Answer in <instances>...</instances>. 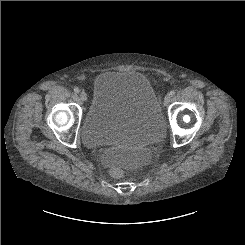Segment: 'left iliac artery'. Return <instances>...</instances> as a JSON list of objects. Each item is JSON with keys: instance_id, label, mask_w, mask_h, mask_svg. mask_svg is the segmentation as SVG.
I'll return each mask as SVG.
<instances>
[{"instance_id": "obj_1", "label": "left iliac artery", "mask_w": 245, "mask_h": 245, "mask_svg": "<svg viewBox=\"0 0 245 245\" xmlns=\"http://www.w3.org/2000/svg\"><path fill=\"white\" fill-rule=\"evenodd\" d=\"M175 90H171L170 92H169V95L172 97V96H174L175 95Z\"/></svg>"}]
</instances>
